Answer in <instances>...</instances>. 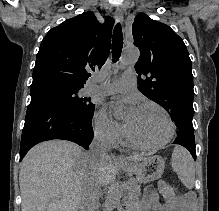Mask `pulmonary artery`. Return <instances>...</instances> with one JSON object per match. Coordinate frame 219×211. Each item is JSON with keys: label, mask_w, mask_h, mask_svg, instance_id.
Masks as SVG:
<instances>
[{"label": "pulmonary artery", "mask_w": 219, "mask_h": 211, "mask_svg": "<svg viewBox=\"0 0 219 211\" xmlns=\"http://www.w3.org/2000/svg\"><path fill=\"white\" fill-rule=\"evenodd\" d=\"M135 73L133 69L126 70L122 76L114 80L111 83L104 84L102 86H98L96 83L98 82L97 78H94L90 85L83 90L84 94H92V93H101L105 95H111L116 93L126 92L131 89L135 85Z\"/></svg>", "instance_id": "obj_1"}]
</instances>
